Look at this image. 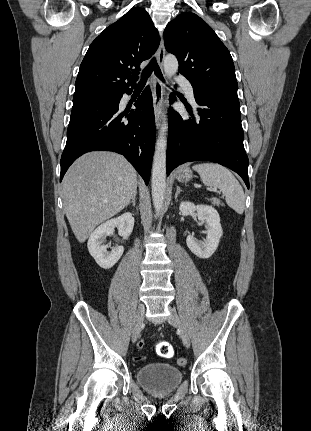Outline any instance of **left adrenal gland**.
Here are the masks:
<instances>
[{
  "label": "left adrenal gland",
  "mask_w": 311,
  "mask_h": 431,
  "mask_svg": "<svg viewBox=\"0 0 311 431\" xmlns=\"http://www.w3.org/2000/svg\"><path fill=\"white\" fill-rule=\"evenodd\" d=\"M180 192H182V190H180L179 186H177L176 194H175V200H178V196H179Z\"/></svg>",
  "instance_id": "1"
}]
</instances>
